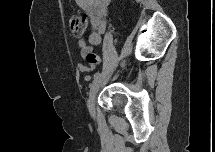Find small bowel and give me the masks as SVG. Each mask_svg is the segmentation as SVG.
I'll list each match as a JSON object with an SVG mask.
<instances>
[{"mask_svg": "<svg viewBox=\"0 0 215 152\" xmlns=\"http://www.w3.org/2000/svg\"><path fill=\"white\" fill-rule=\"evenodd\" d=\"M77 5L88 15L91 24V32L88 36V46L84 41H80L79 47L82 55L86 51H90L92 46L101 43L102 34L107 25L108 6L110 0H76ZM81 72H85L86 68L83 64L77 65ZM89 79V76H86Z\"/></svg>", "mask_w": 215, "mask_h": 152, "instance_id": "c3829d8e", "label": "small bowel"}]
</instances>
